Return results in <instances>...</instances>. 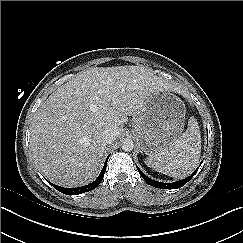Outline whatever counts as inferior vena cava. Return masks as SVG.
Returning <instances> with one entry per match:
<instances>
[{"instance_id": "obj_1", "label": "inferior vena cava", "mask_w": 243, "mask_h": 243, "mask_svg": "<svg viewBox=\"0 0 243 243\" xmlns=\"http://www.w3.org/2000/svg\"><path fill=\"white\" fill-rule=\"evenodd\" d=\"M102 139L105 144H111L116 140V130L114 129H106L102 133Z\"/></svg>"}]
</instances>
